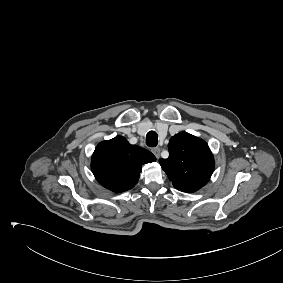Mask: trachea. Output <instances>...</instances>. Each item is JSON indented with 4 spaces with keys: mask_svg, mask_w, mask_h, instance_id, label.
I'll return each instance as SVG.
<instances>
[{
    "mask_svg": "<svg viewBox=\"0 0 283 283\" xmlns=\"http://www.w3.org/2000/svg\"><path fill=\"white\" fill-rule=\"evenodd\" d=\"M146 144L149 147H156L158 144V135L155 131H150L146 135Z\"/></svg>",
    "mask_w": 283,
    "mask_h": 283,
    "instance_id": "3493384b",
    "label": "trachea"
}]
</instances>
